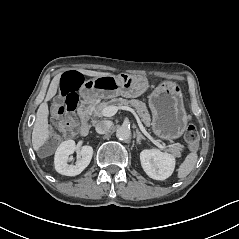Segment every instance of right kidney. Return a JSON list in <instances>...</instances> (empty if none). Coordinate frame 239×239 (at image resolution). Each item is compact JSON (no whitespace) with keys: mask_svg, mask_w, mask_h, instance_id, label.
Wrapping results in <instances>:
<instances>
[{"mask_svg":"<svg viewBox=\"0 0 239 239\" xmlns=\"http://www.w3.org/2000/svg\"><path fill=\"white\" fill-rule=\"evenodd\" d=\"M76 150L74 140H67L62 142L54 157L55 169L58 173L66 176H76L80 174L90 163L93 155V148L91 146H83L79 152L81 158L77 160L75 165H69V155L73 154Z\"/></svg>","mask_w":239,"mask_h":239,"instance_id":"1","label":"right kidney"}]
</instances>
